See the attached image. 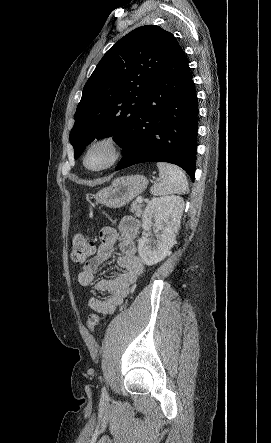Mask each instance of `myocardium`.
Returning a JSON list of instances; mask_svg holds the SVG:
<instances>
[{
    "label": "myocardium",
    "mask_w": 271,
    "mask_h": 443,
    "mask_svg": "<svg viewBox=\"0 0 271 443\" xmlns=\"http://www.w3.org/2000/svg\"><path fill=\"white\" fill-rule=\"evenodd\" d=\"M97 144H107L111 149V157L103 166L96 169H88L84 165V158L87 151L94 145ZM124 146L121 138L115 133H105L94 137L91 139L83 148L81 156H80V164L82 168L91 173H98L105 171L113 166H115L123 157Z\"/></svg>",
    "instance_id": "obj_1"
}]
</instances>
